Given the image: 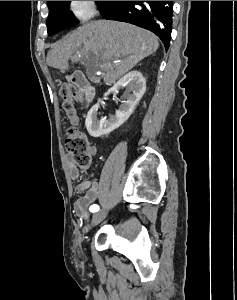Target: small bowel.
<instances>
[{"instance_id":"obj_1","label":"small bowel","mask_w":237,"mask_h":300,"mask_svg":"<svg viewBox=\"0 0 237 300\" xmlns=\"http://www.w3.org/2000/svg\"><path fill=\"white\" fill-rule=\"evenodd\" d=\"M77 98L81 99V96L77 95ZM70 124L72 126H77L79 124V118H71ZM89 155L91 158H94L97 155L96 147L92 146L89 148ZM67 167L70 177L73 180H79L81 177L80 171L71 159H67ZM117 187L118 181L116 179H108L106 176H103L99 181L90 178H85L80 181L77 189L78 191L84 192V195L80 197L74 205V214L76 217L79 219H86L89 216L90 207L94 205L100 197L103 189H116Z\"/></svg>"}]
</instances>
